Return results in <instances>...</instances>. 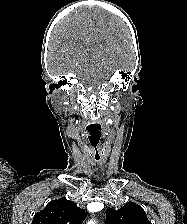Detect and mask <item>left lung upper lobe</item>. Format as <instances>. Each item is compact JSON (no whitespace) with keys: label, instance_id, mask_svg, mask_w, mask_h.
Listing matches in <instances>:
<instances>
[{"label":"left lung upper lobe","instance_id":"obj_1","mask_svg":"<svg viewBox=\"0 0 187 224\" xmlns=\"http://www.w3.org/2000/svg\"><path fill=\"white\" fill-rule=\"evenodd\" d=\"M106 224H152L143 208L134 202L126 203L121 209H108Z\"/></svg>","mask_w":187,"mask_h":224}]
</instances>
